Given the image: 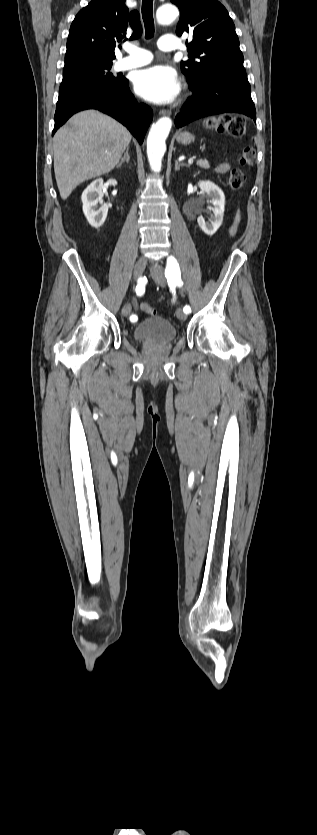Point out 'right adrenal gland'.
I'll list each match as a JSON object with an SVG mask.
<instances>
[{
	"mask_svg": "<svg viewBox=\"0 0 317 835\" xmlns=\"http://www.w3.org/2000/svg\"><path fill=\"white\" fill-rule=\"evenodd\" d=\"M128 151H129V147H127V148H126V152H125V154H124L123 158H122V159L120 160V162L118 163L117 168H120L124 162H126L127 164L129 163V161H130V156H129Z\"/></svg>",
	"mask_w": 317,
	"mask_h": 835,
	"instance_id": "1",
	"label": "right adrenal gland"
}]
</instances>
